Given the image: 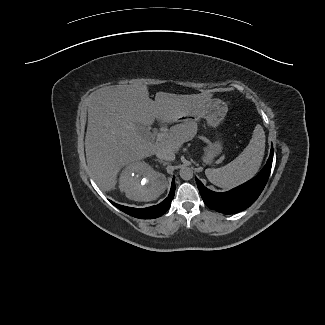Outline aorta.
Returning a JSON list of instances; mask_svg holds the SVG:
<instances>
[{"instance_id":"1","label":"aorta","mask_w":325,"mask_h":325,"mask_svg":"<svg viewBox=\"0 0 325 325\" xmlns=\"http://www.w3.org/2000/svg\"><path fill=\"white\" fill-rule=\"evenodd\" d=\"M180 177L183 180H190V179H192V177H193V170H192V168L186 167V166L182 167L180 169Z\"/></svg>"}]
</instances>
